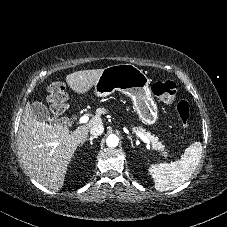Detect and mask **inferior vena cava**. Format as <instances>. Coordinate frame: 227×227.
Listing matches in <instances>:
<instances>
[{
	"mask_svg": "<svg viewBox=\"0 0 227 227\" xmlns=\"http://www.w3.org/2000/svg\"><path fill=\"white\" fill-rule=\"evenodd\" d=\"M104 131V126L102 123L100 124H95L91 127L90 129V133L93 135V136H99L103 133Z\"/></svg>",
	"mask_w": 227,
	"mask_h": 227,
	"instance_id": "inferior-vena-cava-1",
	"label": "inferior vena cava"
}]
</instances>
